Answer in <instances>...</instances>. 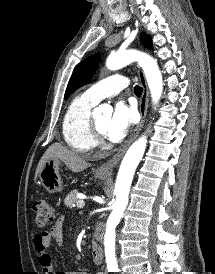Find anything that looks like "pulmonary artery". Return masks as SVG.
<instances>
[{
    "instance_id": "obj_1",
    "label": "pulmonary artery",
    "mask_w": 215,
    "mask_h": 274,
    "mask_svg": "<svg viewBox=\"0 0 215 274\" xmlns=\"http://www.w3.org/2000/svg\"><path fill=\"white\" fill-rule=\"evenodd\" d=\"M128 78L123 75H112L88 88L84 94L92 101L98 103L106 97L118 94L128 86Z\"/></svg>"
}]
</instances>
